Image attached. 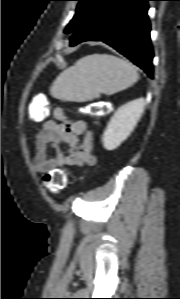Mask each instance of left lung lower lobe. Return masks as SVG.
I'll return each mask as SVG.
<instances>
[{"instance_id": "1", "label": "left lung lower lobe", "mask_w": 180, "mask_h": 299, "mask_svg": "<svg viewBox=\"0 0 180 299\" xmlns=\"http://www.w3.org/2000/svg\"><path fill=\"white\" fill-rule=\"evenodd\" d=\"M148 1L97 0L70 38V46L105 42L153 78Z\"/></svg>"}]
</instances>
